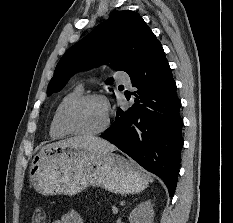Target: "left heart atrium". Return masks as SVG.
I'll return each mask as SVG.
<instances>
[{
    "label": "left heart atrium",
    "instance_id": "left-heart-atrium-1",
    "mask_svg": "<svg viewBox=\"0 0 233 223\" xmlns=\"http://www.w3.org/2000/svg\"><path fill=\"white\" fill-rule=\"evenodd\" d=\"M104 110H105L106 114H108L109 106L106 102H104Z\"/></svg>",
    "mask_w": 233,
    "mask_h": 223
}]
</instances>
